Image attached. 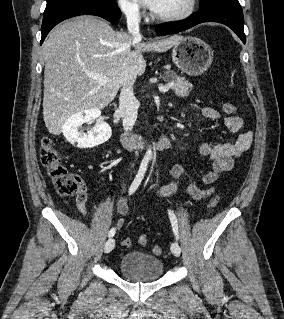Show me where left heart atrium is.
I'll use <instances>...</instances> for the list:
<instances>
[{
	"instance_id": "left-heart-atrium-1",
	"label": "left heart atrium",
	"mask_w": 284,
	"mask_h": 319,
	"mask_svg": "<svg viewBox=\"0 0 284 319\" xmlns=\"http://www.w3.org/2000/svg\"><path fill=\"white\" fill-rule=\"evenodd\" d=\"M143 5L151 10H155L159 4V0H139Z\"/></svg>"
}]
</instances>
